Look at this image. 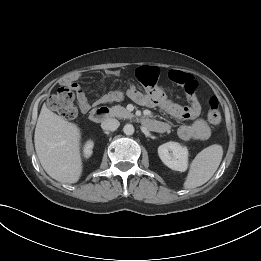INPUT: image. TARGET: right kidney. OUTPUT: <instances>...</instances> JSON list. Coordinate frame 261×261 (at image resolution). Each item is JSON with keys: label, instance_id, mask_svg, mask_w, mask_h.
<instances>
[{"label": "right kidney", "instance_id": "obj_1", "mask_svg": "<svg viewBox=\"0 0 261 261\" xmlns=\"http://www.w3.org/2000/svg\"><path fill=\"white\" fill-rule=\"evenodd\" d=\"M92 149H93V142L88 141L85 146H84V156L86 158H89L92 154Z\"/></svg>", "mask_w": 261, "mask_h": 261}]
</instances>
